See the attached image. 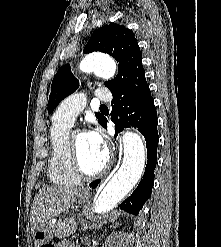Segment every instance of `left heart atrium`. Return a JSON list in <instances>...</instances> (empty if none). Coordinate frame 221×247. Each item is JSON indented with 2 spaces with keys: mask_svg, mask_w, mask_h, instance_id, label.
Wrapping results in <instances>:
<instances>
[{
  "mask_svg": "<svg viewBox=\"0 0 221 247\" xmlns=\"http://www.w3.org/2000/svg\"><path fill=\"white\" fill-rule=\"evenodd\" d=\"M86 134L94 146H96L98 149L106 150L104 137L99 131L93 129L88 131Z\"/></svg>",
  "mask_w": 221,
  "mask_h": 247,
  "instance_id": "left-heart-atrium-1",
  "label": "left heart atrium"
}]
</instances>
